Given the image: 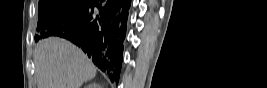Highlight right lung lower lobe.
<instances>
[{
  "mask_svg": "<svg viewBox=\"0 0 267 88\" xmlns=\"http://www.w3.org/2000/svg\"><path fill=\"white\" fill-rule=\"evenodd\" d=\"M131 0H90L68 19L50 27L48 36L70 40L118 83Z\"/></svg>",
  "mask_w": 267,
  "mask_h": 88,
  "instance_id": "98d812e1",
  "label": "right lung lower lobe"
}]
</instances>
